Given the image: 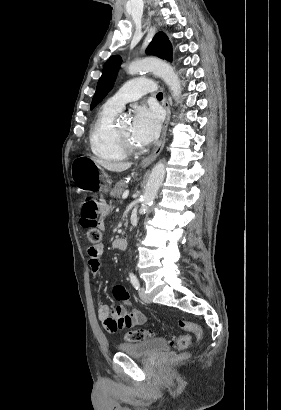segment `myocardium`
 Listing matches in <instances>:
<instances>
[{"mask_svg":"<svg viewBox=\"0 0 281 410\" xmlns=\"http://www.w3.org/2000/svg\"><path fill=\"white\" fill-rule=\"evenodd\" d=\"M116 136L126 152L136 153L139 151V147L136 146L128 137L123 135L118 128H116Z\"/></svg>","mask_w":281,"mask_h":410,"instance_id":"obj_1","label":"myocardium"}]
</instances>
